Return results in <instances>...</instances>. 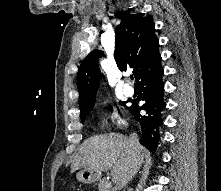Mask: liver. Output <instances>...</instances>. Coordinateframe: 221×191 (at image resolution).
<instances>
[{"label":"liver","instance_id":"6515ba94","mask_svg":"<svg viewBox=\"0 0 221 191\" xmlns=\"http://www.w3.org/2000/svg\"><path fill=\"white\" fill-rule=\"evenodd\" d=\"M139 166L148 155L147 150L138 143ZM133 162L129 138L121 134L96 135L88 138L80 146L71 165V172L88 168L98 172L111 170L112 180L118 188L129 177ZM138 166V168H139Z\"/></svg>","mask_w":221,"mask_h":191}]
</instances>
